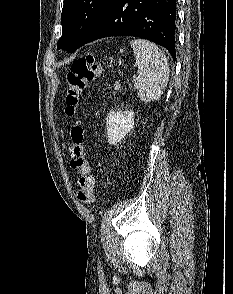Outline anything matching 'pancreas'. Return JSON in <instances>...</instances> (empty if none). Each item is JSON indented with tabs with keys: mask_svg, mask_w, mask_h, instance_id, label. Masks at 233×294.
I'll list each match as a JSON object with an SVG mask.
<instances>
[{
	"mask_svg": "<svg viewBox=\"0 0 233 294\" xmlns=\"http://www.w3.org/2000/svg\"><path fill=\"white\" fill-rule=\"evenodd\" d=\"M115 89H116L117 91L121 90V85H120V83H116V84H115Z\"/></svg>",
	"mask_w": 233,
	"mask_h": 294,
	"instance_id": "cf45deb5",
	"label": "pancreas"
}]
</instances>
